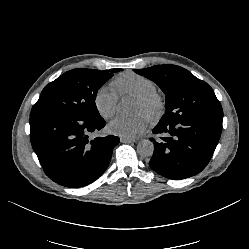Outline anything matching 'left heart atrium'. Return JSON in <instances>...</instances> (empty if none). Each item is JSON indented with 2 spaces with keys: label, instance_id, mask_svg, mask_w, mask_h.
Wrapping results in <instances>:
<instances>
[{
  "label": "left heart atrium",
  "instance_id": "39dd6f15",
  "mask_svg": "<svg viewBox=\"0 0 249 249\" xmlns=\"http://www.w3.org/2000/svg\"><path fill=\"white\" fill-rule=\"evenodd\" d=\"M145 127L146 119L141 114L130 117L117 115L108 124V131L113 135L134 137L140 134Z\"/></svg>",
  "mask_w": 249,
  "mask_h": 249
}]
</instances>
